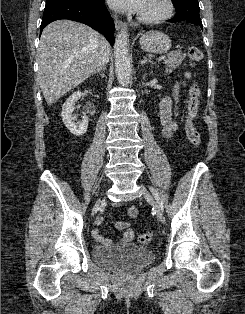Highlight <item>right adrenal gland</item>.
Here are the masks:
<instances>
[{
    "instance_id": "1",
    "label": "right adrenal gland",
    "mask_w": 245,
    "mask_h": 314,
    "mask_svg": "<svg viewBox=\"0 0 245 314\" xmlns=\"http://www.w3.org/2000/svg\"><path fill=\"white\" fill-rule=\"evenodd\" d=\"M104 71V67L102 66H98L97 69L95 70L94 74H100L102 77H104V73H102Z\"/></svg>"
}]
</instances>
